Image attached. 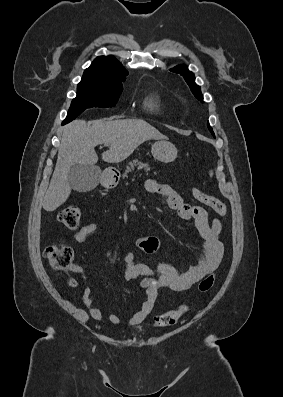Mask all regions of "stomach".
Wrapping results in <instances>:
<instances>
[{"mask_svg": "<svg viewBox=\"0 0 283 397\" xmlns=\"http://www.w3.org/2000/svg\"><path fill=\"white\" fill-rule=\"evenodd\" d=\"M153 157L164 163H169L177 158V148L167 140H159L151 147ZM115 172L112 168L104 170L100 174V181L105 187H112L116 183Z\"/></svg>", "mask_w": 283, "mask_h": 397, "instance_id": "0dacf381", "label": "stomach"}]
</instances>
